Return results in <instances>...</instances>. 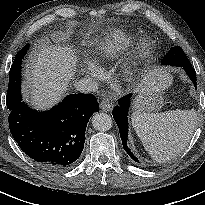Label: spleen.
Returning <instances> with one entry per match:
<instances>
[{
	"label": "spleen",
	"instance_id": "obj_1",
	"mask_svg": "<svg viewBox=\"0 0 205 205\" xmlns=\"http://www.w3.org/2000/svg\"><path fill=\"white\" fill-rule=\"evenodd\" d=\"M196 122L195 110L146 114L134 112L132 125L149 155L167 162L188 145Z\"/></svg>",
	"mask_w": 205,
	"mask_h": 205
}]
</instances>
